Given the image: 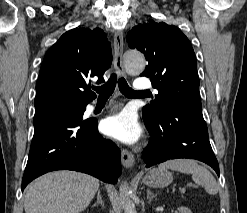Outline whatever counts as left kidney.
I'll return each mask as SVG.
<instances>
[{"label": "left kidney", "instance_id": "obj_1", "mask_svg": "<svg viewBox=\"0 0 247 213\" xmlns=\"http://www.w3.org/2000/svg\"><path fill=\"white\" fill-rule=\"evenodd\" d=\"M179 212L180 213H192V211L189 208H187V207H181V208H179Z\"/></svg>", "mask_w": 247, "mask_h": 213}]
</instances>
